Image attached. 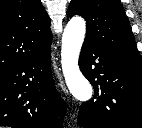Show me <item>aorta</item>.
Instances as JSON below:
<instances>
[{
    "label": "aorta",
    "instance_id": "1",
    "mask_svg": "<svg viewBox=\"0 0 142 128\" xmlns=\"http://www.w3.org/2000/svg\"><path fill=\"white\" fill-rule=\"evenodd\" d=\"M86 32V23L81 17L72 18L62 36L61 64L70 93L79 101L92 98L93 90L79 69L78 60Z\"/></svg>",
    "mask_w": 142,
    "mask_h": 128
}]
</instances>
